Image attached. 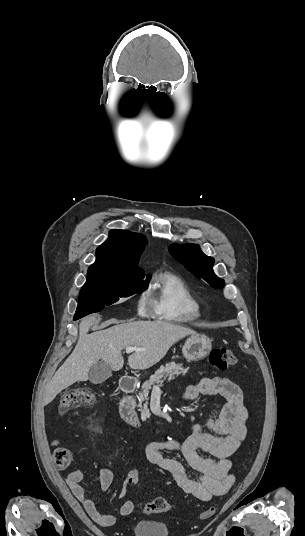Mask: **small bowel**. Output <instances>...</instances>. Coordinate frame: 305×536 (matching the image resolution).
<instances>
[{"label":"small bowel","mask_w":305,"mask_h":536,"mask_svg":"<svg viewBox=\"0 0 305 536\" xmlns=\"http://www.w3.org/2000/svg\"><path fill=\"white\" fill-rule=\"evenodd\" d=\"M200 395L220 396L225 405L216 418H209L192 425L190 435L185 439L166 436L149 442L145 447L146 459L153 465L166 471L175 483L190 496L207 502L213 497L223 496L233 485L235 478L231 473L230 456L240 447L246 437L245 422L248 416L239 386L222 377H206L190 385L183 393V399L194 401ZM164 451L180 454L187 465L198 473L193 478L185 466L177 459L163 455ZM214 458L206 457L199 452ZM83 473L74 470L67 474L66 482L77 500L92 520L102 528H109L116 522L113 515L102 513L89 497L83 484ZM124 480L120 498L127 494ZM113 473L103 467L99 471V483L102 491L110 488ZM135 509L134 501L126 499L120 507V515L127 516Z\"/></svg>","instance_id":"small-bowel-1"}]
</instances>
